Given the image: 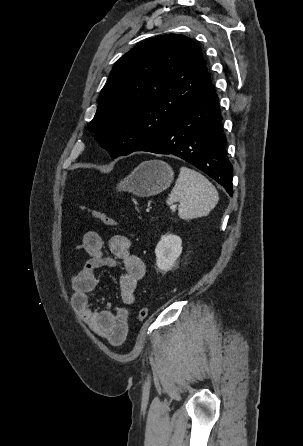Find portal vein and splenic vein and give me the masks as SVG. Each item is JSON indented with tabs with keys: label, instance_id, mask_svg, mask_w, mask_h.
Returning <instances> with one entry per match:
<instances>
[{
	"label": "portal vein and splenic vein",
	"instance_id": "18ae733b",
	"mask_svg": "<svg viewBox=\"0 0 303 446\" xmlns=\"http://www.w3.org/2000/svg\"><path fill=\"white\" fill-rule=\"evenodd\" d=\"M176 207H177L176 205H173V206L170 207V209H171V210H175Z\"/></svg>",
	"mask_w": 303,
	"mask_h": 446
}]
</instances>
